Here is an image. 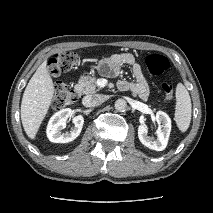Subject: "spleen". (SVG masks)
<instances>
[{
  "mask_svg": "<svg viewBox=\"0 0 213 213\" xmlns=\"http://www.w3.org/2000/svg\"><path fill=\"white\" fill-rule=\"evenodd\" d=\"M192 105L189 93L182 83L176 87V107L174 120L181 132H186L191 121Z\"/></svg>",
  "mask_w": 213,
  "mask_h": 213,
  "instance_id": "3e777b00",
  "label": "spleen"
}]
</instances>
